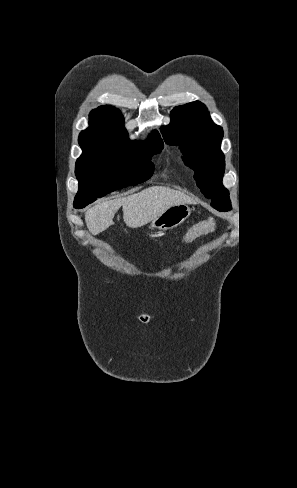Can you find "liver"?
<instances>
[{"mask_svg": "<svg viewBox=\"0 0 297 488\" xmlns=\"http://www.w3.org/2000/svg\"><path fill=\"white\" fill-rule=\"evenodd\" d=\"M191 202L190 197L180 191L164 186H152L139 193L93 206L85 213V221L93 235L99 234L113 224L114 215L122 206L125 224L130 228H138L175 204Z\"/></svg>", "mask_w": 297, "mask_h": 488, "instance_id": "obj_1", "label": "liver"}]
</instances>
